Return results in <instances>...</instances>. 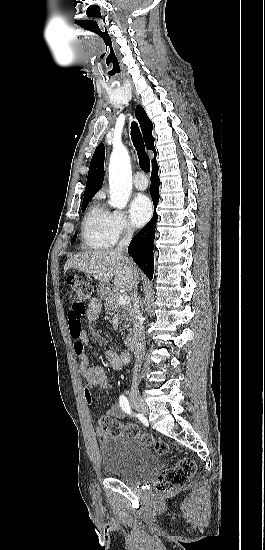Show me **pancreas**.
<instances>
[{"label": "pancreas", "instance_id": "obj_1", "mask_svg": "<svg viewBox=\"0 0 265 550\" xmlns=\"http://www.w3.org/2000/svg\"><path fill=\"white\" fill-rule=\"evenodd\" d=\"M118 298L119 294H110L104 304L105 311L109 315H117L121 319V321L125 323L124 328L128 329V327L131 326V322L133 319V308L130 303L127 305L118 304ZM129 332H131V329H129Z\"/></svg>", "mask_w": 265, "mask_h": 550}]
</instances>
